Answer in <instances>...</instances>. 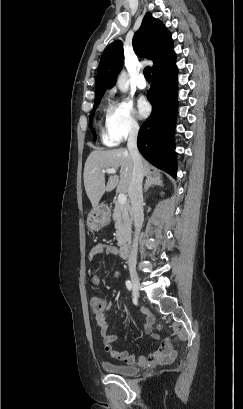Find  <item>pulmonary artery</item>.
Returning a JSON list of instances; mask_svg holds the SVG:
<instances>
[{"instance_id":"1","label":"pulmonary artery","mask_w":243,"mask_h":409,"mask_svg":"<svg viewBox=\"0 0 243 409\" xmlns=\"http://www.w3.org/2000/svg\"><path fill=\"white\" fill-rule=\"evenodd\" d=\"M136 86H137L139 89H142V90L147 87V83H146V81H145V79H144V75H143V74H140V75H139V77H138V79H137V82H136Z\"/></svg>"}]
</instances>
